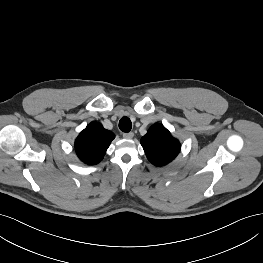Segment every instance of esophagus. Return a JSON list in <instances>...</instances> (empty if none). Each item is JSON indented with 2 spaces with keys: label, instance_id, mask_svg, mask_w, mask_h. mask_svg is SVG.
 <instances>
[{
  "label": "esophagus",
  "instance_id": "34e87169",
  "mask_svg": "<svg viewBox=\"0 0 263 263\" xmlns=\"http://www.w3.org/2000/svg\"><path fill=\"white\" fill-rule=\"evenodd\" d=\"M134 137L133 132L123 133V138L125 139H132Z\"/></svg>",
  "mask_w": 263,
  "mask_h": 263
}]
</instances>
